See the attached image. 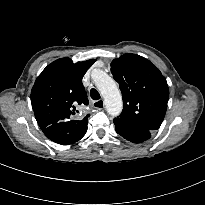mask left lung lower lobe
<instances>
[{
    "label": "left lung lower lobe",
    "instance_id": "1",
    "mask_svg": "<svg viewBox=\"0 0 205 205\" xmlns=\"http://www.w3.org/2000/svg\"><path fill=\"white\" fill-rule=\"evenodd\" d=\"M116 132L133 143H141L151 137V130L129 123L121 118H114Z\"/></svg>",
    "mask_w": 205,
    "mask_h": 205
}]
</instances>
